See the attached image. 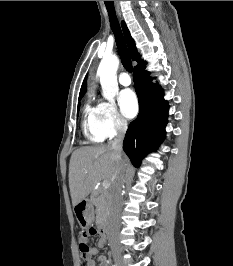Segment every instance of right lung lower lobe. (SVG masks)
Masks as SVG:
<instances>
[{
    "label": "right lung lower lobe",
    "instance_id": "obj_1",
    "mask_svg": "<svg viewBox=\"0 0 233 266\" xmlns=\"http://www.w3.org/2000/svg\"><path fill=\"white\" fill-rule=\"evenodd\" d=\"M146 63L134 68V87L139 99V115L129 124L123 142V150L135 167L142 159L157 148L165 138L168 103L164 100L163 89L152 84Z\"/></svg>",
    "mask_w": 233,
    "mask_h": 266
}]
</instances>
